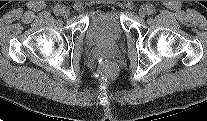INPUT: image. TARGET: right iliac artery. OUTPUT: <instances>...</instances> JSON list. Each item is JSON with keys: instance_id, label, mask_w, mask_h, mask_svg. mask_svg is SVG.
Here are the masks:
<instances>
[{"instance_id": "1", "label": "right iliac artery", "mask_w": 207, "mask_h": 121, "mask_svg": "<svg viewBox=\"0 0 207 121\" xmlns=\"http://www.w3.org/2000/svg\"><path fill=\"white\" fill-rule=\"evenodd\" d=\"M61 10H62V7L60 5H57L55 8H54V13L56 15H60L61 14Z\"/></svg>"}]
</instances>
